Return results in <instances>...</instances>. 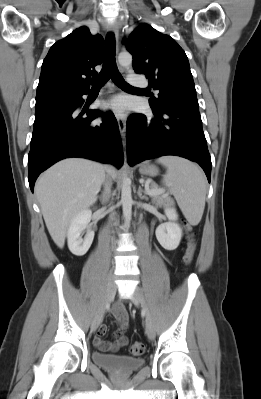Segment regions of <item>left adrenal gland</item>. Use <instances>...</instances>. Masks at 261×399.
I'll return each instance as SVG.
<instances>
[{"mask_svg":"<svg viewBox=\"0 0 261 399\" xmlns=\"http://www.w3.org/2000/svg\"><path fill=\"white\" fill-rule=\"evenodd\" d=\"M138 196H139L140 199H145V200L149 199L146 195H142L141 188H139V190H138Z\"/></svg>","mask_w":261,"mask_h":399,"instance_id":"left-adrenal-gland-1","label":"left adrenal gland"}]
</instances>
